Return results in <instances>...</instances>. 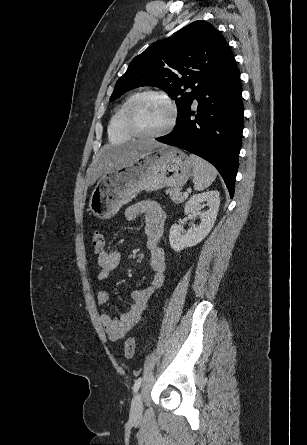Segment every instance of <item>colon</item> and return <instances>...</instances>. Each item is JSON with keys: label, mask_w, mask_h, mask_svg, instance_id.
Segmentation results:
<instances>
[{"label": "colon", "mask_w": 307, "mask_h": 445, "mask_svg": "<svg viewBox=\"0 0 307 445\" xmlns=\"http://www.w3.org/2000/svg\"><path fill=\"white\" fill-rule=\"evenodd\" d=\"M92 246L95 251L102 252L105 248V242H104V236L102 232L96 230L92 234ZM135 338L129 337L124 345V356L126 359H131L134 356L135 353Z\"/></svg>", "instance_id": "obj_1"}]
</instances>
